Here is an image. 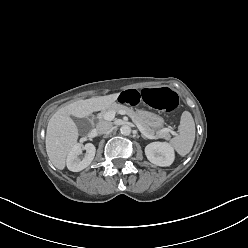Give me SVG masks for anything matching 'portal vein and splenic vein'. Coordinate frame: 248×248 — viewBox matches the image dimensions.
Instances as JSON below:
<instances>
[{
	"label": "portal vein and splenic vein",
	"mask_w": 248,
	"mask_h": 248,
	"mask_svg": "<svg viewBox=\"0 0 248 248\" xmlns=\"http://www.w3.org/2000/svg\"><path fill=\"white\" fill-rule=\"evenodd\" d=\"M119 114L125 115L126 113L124 111H119ZM114 117H115V112H113V111H109L103 115V119L107 120V121H112L114 119ZM135 124L142 133H146V131L142 128V126L140 124H138V123H135ZM169 132H171L173 135H176L175 131H173L169 128H163L160 131H158L157 135H155V136L148 135V137H150V138L161 137L162 138L163 133H169Z\"/></svg>",
	"instance_id": "portal-vein-and-splenic-vein-1"
}]
</instances>
